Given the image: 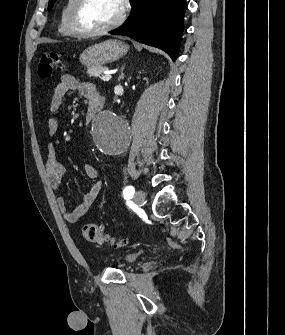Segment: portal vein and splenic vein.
<instances>
[{"label": "portal vein and splenic vein", "instance_id": "portal-vein-and-splenic-vein-1", "mask_svg": "<svg viewBox=\"0 0 285 335\" xmlns=\"http://www.w3.org/2000/svg\"><path fill=\"white\" fill-rule=\"evenodd\" d=\"M102 74H104V76H102L101 80H104V82H107V80H111V72H102Z\"/></svg>", "mask_w": 285, "mask_h": 335}]
</instances>
